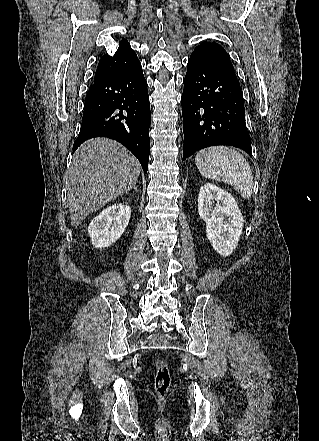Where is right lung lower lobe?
<instances>
[{"instance_id":"right-lung-lower-lobe-1","label":"right lung lower lobe","mask_w":319,"mask_h":441,"mask_svg":"<svg viewBox=\"0 0 319 441\" xmlns=\"http://www.w3.org/2000/svg\"><path fill=\"white\" fill-rule=\"evenodd\" d=\"M150 103L140 62L91 86L73 152L86 140L108 137L128 148L145 173L149 160Z\"/></svg>"}]
</instances>
